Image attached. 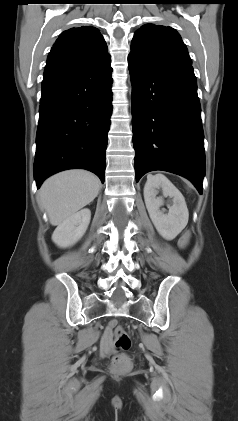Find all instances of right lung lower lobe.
I'll return each mask as SVG.
<instances>
[{"label": "right lung lower lobe", "mask_w": 238, "mask_h": 421, "mask_svg": "<svg viewBox=\"0 0 238 421\" xmlns=\"http://www.w3.org/2000/svg\"><path fill=\"white\" fill-rule=\"evenodd\" d=\"M111 61L46 67L36 136L34 178L82 168L104 183L112 114Z\"/></svg>", "instance_id": "98d812e1"}]
</instances>
